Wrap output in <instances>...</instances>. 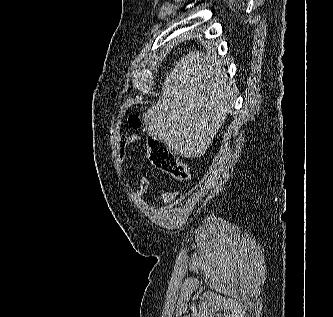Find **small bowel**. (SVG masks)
I'll return each mask as SVG.
<instances>
[{
    "mask_svg": "<svg viewBox=\"0 0 333 317\" xmlns=\"http://www.w3.org/2000/svg\"><path fill=\"white\" fill-rule=\"evenodd\" d=\"M140 139V136L138 134L134 135H124L121 138L120 141V147H119V160L120 162H123L126 158V150L128 147H130L134 142L138 141ZM149 189V180L146 176H141L139 180V184L135 189V194L138 197L143 196ZM177 196V192L175 191H166L159 193L157 195V199L163 201V202H171L174 200Z\"/></svg>",
    "mask_w": 333,
    "mask_h": 317,
    "instance_id": "1",
    "label": "small bowel"
}]
</instances>
